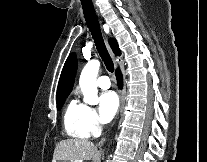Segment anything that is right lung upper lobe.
I'll use <instances>...</instances> for the list:
<instances>
[{
    "instance_id": "right-lung-upper-lobe-1",
    "label": "right lung upper lobe",
    "mask_w": 207,
    "mask_h": 162,
    "mask_svg": "<svg viewBox=\"0 0 207 162\" xmlns=\"http://www.w3.org/2000/svg\"><path fill=\"white\" fill-rule=\"evenodd\" d=\"M110 45L113 52L116 55H120L121 51L114 40H110ZM76 69H77V60L75 54L72 53L66 60L59 79L58 90L56 95L57 100L67 97L71 92L74 83Z\"/></svg>"
}]
</instances>
